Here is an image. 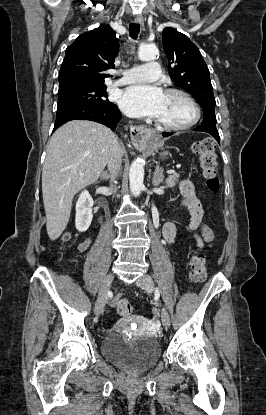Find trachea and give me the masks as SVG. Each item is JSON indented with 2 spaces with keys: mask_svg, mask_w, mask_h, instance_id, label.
I'll use <instances>...</instances> for the list:
<instances>
[{
  "mask_svg": "<svg viewBox=\"0 0 266 415\" xmlns=\"http://www.w3.org/2000/svg\"><path fill=\"white\" fill-rule=\"evenodd\" d=\"M140 32V24L138 23H131L129 25V34L132 39H136Z\"/></svg>",
  "mask_w": 266,
  "mask_h": 415,
  "instance_id": "obj_1",
  "label": "trachea"
}]
</instances>
